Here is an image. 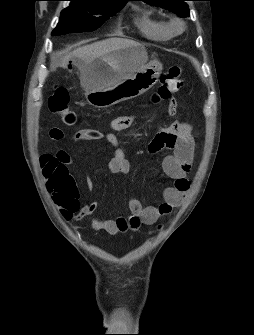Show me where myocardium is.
Returning <instances> with one entry per match:
<instances>
[{
    "mask_svg": "<svg viewBox=\"0 0 254 335\" xmlns=\"http://www.w3.org/2000/svg\"><path fill=\"white\" fill-rule=\"evenodd\" d=\"M168 26L171 32L176 34L181 33L185 28L184 22L178 18L172 19Z\"/></svg>",
    "mask_w": 254,
    "mask_h": 335,
    "instance_id": "obj_1",
    "label": "myocardium"
}]
</instances>
